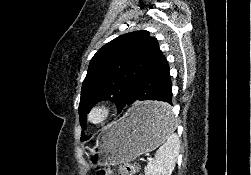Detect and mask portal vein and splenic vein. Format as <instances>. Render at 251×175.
Returning <instances> with one entry per match:
<instances>
[{"label":"portal vein and splenic vein","mask_w":251,"mask_h":175,"mask_svg":"<svg viewBox=\"0 0 251 175\" xmlns=\"http://www.w3.org/2000/svg\"><path fill=\"white\" fill-rule=\"evenodd\" d=\"M145 161H146V162H151V161H152V158H151V157H146V158H145Z\"/></svg>","instance_id":"obj_1"}]
</instances>
